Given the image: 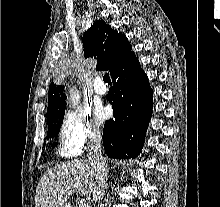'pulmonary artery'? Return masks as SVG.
<instances>
[{
  "mask_svg": "<svg viewBox=\"0 0 220 207\" xmlns=\"http://www.w3.org/2000/svg\"><path fill=\"white\" fill-rule=\"evenodd\" d=\"M94 92L97 95H104L107 92L105 85L101 82V80H97L94 84Z\"/></svg>",
  "mask_w": 220,
  "mask_h": 207,
  "instance_id": "obj_1",
  "label": "pulmonary artery"
}]
</instances>
